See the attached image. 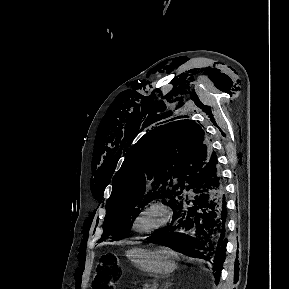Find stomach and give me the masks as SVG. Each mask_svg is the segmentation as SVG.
<instances>
[{"label": "stomach", "instance_id": "obj_1", "mask_svg": "<svg viewBox=\"0 0 289 289\" xmlns=\"http://www.w3.org/2000/svg\"><path fill=\"white\" fill-rule=\"evenodd\" d=\"M126 256L139 270L151 275H167L176 268L173 252L164 247L154 251L132 248Z\"/></svg>", "mask_w": 289, "mask_h": 289}]
</instances>
